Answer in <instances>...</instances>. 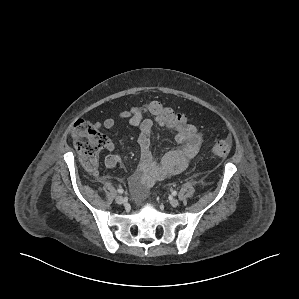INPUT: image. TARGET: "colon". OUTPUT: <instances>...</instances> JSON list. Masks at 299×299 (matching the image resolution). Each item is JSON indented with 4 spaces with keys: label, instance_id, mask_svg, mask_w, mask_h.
Listing matches in <instances>:
<instances>
[{
    "label": "colon",
    "instance_id": "obj_1",
    "mask_svg": "<svg viewBox=\"0 0 299 299\" xmlns=\"http://www.w3.org/2000/svg\"><path fill=\"white\" fill-rule=\"evenodd\" d=\"M151 114L173 124H184L186 116L174 108L158 100H150L146 104ZM72 136L83 165L91 170H96L101 150L106 146L105 135L99 132L91 123L78 119L72 128ZM231 151V143L227 139H218L214 142L211 153L215 157H226Z\"/></svg>",
    "mask_w": 299,
    "mask_h": 299
}]
</instances>
